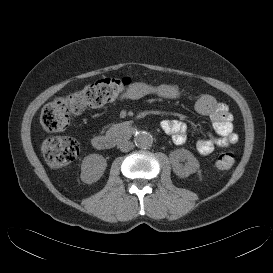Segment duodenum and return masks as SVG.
Returning a JSON list of instances; mask_svg holds the SVG:
<instances>
[{
	"label": "duodenum",
	"instance_id": "duodenum-1",
	"mask_svg": "<svg viewBox=\"0 0 273 273\" xmlns=\"http://www.w3.org/2000/svg\"><path fill=\"white\" fill-rule=\"evenodd\" d=\"M132 128L130 125H121L104 135H96L92 138V145L99 150L114 148L119 143L125 141Z\"/></svg>",
	"mask_w": 273,
	"mask_h": 273
}]
</instances>
